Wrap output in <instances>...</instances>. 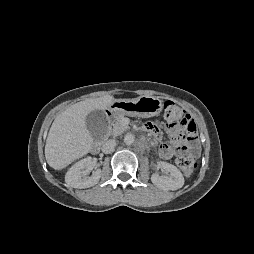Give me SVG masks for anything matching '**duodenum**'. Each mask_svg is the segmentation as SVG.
<instances>
[{"label":"duodenum","mask_w":254,"mask_h":254,"mask_svg":"<svg viewBox=\"0 0 254 254\" xmlns=\"http://www.w3.org/2000/svg\"><path fill=\"white\" fill-rule=\"evenodd\" d=\"M116 115H117L116 112H114V111H109V112L107 113V118H108V119H113ZM99 151H100L99 144H95V145L92 147V152H93L94 154H97V153H99Z\"/></svg>","instance_id":"duodenum-1"}]
</instances>
